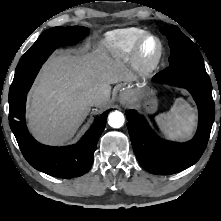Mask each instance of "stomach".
Returning a JSON list of instances; mask_svg holds the SVG:
<instances>
[{"mask_svg":"<svg viewBox=\"0 0 221 221\" xmlns=\"http://www.w3.org/2000/svg\"><path fill=\"white\" fill-rule=\"evenodd\" d=\"M126 92L129 94L133 102H143L146 111L154 112L157 108V100L155 92L145 88V84H137L135 87L127 88Z\"/></svg>","mask_w":221,"mask_h":221,"instance_id":"1","label":"stomach"}]
</instances>
